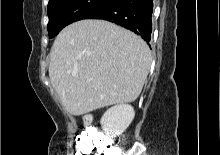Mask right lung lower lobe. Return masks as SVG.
Returning <instances> with one entry per match:
<instances>
[{"mask_svg":"<svg viewBox=\"0 0 220 155\" xmlns=\"http://www.w3.org/2000/svg\"><path fill=\"white\" fill-rule=\"evenodd\" d=\"M152 12V0H115L85 19L110 21L133 31L149 42L152 32Z\"/></svg>","mask_w":220,"mask_h":155,"instance_id":"1","label":"right lung lower lobe"}]
</instances>
